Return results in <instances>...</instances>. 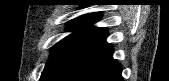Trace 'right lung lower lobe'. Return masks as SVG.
Returning a JSON list of instances; mask_svg holds the SVG:
<instances>
[{"label": "right lung lower lobe", "instance_id": "obj_1", "mask_svg": "<svg viewBox=\"0 0 169 81\" xmlns=\"http://www.w3.org/2000/svg\"><path fill=\"white\" fill-rule=\"evenodd\" d=\"M94 23V22H92ZM87 23L50 57L40 81H123L107 30Z\"/></svg>", "mask_w": 169, "mask_h": 81}]
</instances>
